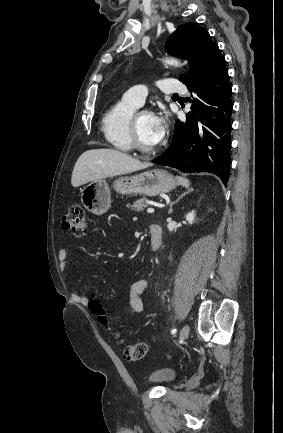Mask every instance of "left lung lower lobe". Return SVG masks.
I'll return each mask as SVG.
<instances>
[{
	"label": "left lung lower lobe",
	"mask_w": 283,
	"mask_h": 433,
	"mask_svg": "<svg viewBox=\"0 0 283 433\" xmlns=\"http://www.w3.org/2000/svg\"><path fill=\"white\" fill-rule=\"evenodd\" d=\"M225 58L217 44L195 63L184 84L195 92L192 112L177 120L174 137L165 152L152 162L185 173L210 172L226 186L230 172L231 87Z\"/></svg>",
	"instance_id": "left-lung-lower-lobe-1"
}]
</instances>
